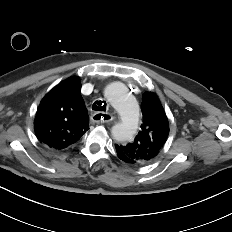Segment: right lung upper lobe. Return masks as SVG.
<instances>
[{
    "mask_svg": "<svg viewBox=\"0 0 232 232\" xmlns=\"http://www.w3.org/2000/svg\"><path fill=\"white\" fill-rule=\"evenodd\" d=\"M88 129L89 117L81 98L80 79L72 76L41 100L34 131L40 143L61 150L77 142Z\"/></svg>",
    "mask_w": 232,
    "mask_h": 232,
    "instance_id": "right-lung-upper-lobe-1",
    "label": "right lung upper lobe"
}]
</instances>
